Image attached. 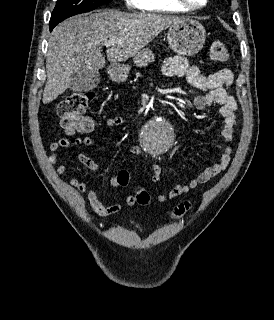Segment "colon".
<instances>
[{
  "mask_svg": "<svg viewBox=\"0 0 274 320\" xmlns=\"http://www.w3.org/2000/svg\"><path fill=\"white\" fill-rule=\"evenodd\" d=\"M210 57L215 63H226L229 61L230 54L223 43H214L211 45ZM95 99V92L91 90L77 91L69 94L56 109V114L60 119V125L65 133L64 138H76L82 131V120H93L85 114V111L91 101ZM116 186H128L133 179L128 169H117ZM135 198L140 204H148L150 195L142 189H137ZM193 200H187L180 203L175 209V215L181 216L188 212L193 206Z\"/></svg>",
  "mask_w": 274,
  "mask_h": 320,
  "instance_id": "1",
  "label": "colon"
}]
</instances>
